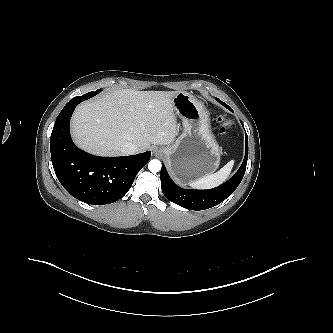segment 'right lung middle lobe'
I'll return each instance as SVG.
<instances>
[{
    "label": "right lung middle lobe",
    "instance_id": "right-lung-middle-lobe-1",
    "mask_svg": "<svg viewBox=\"0 0 333 333\" xmlns=\"http://www.w3.org/2000/svg\"><path fill=\"white\" fill-rule=\"evenodd\" d=\"M101 90H102V89H98V90H96V91L89 92V93L84 94V95H82V96H77V97L73 98L72 100H70L68 103H74V102H76V101L82 102V101H84V100H87V99H89V98H91V97L97 95L98 93L101 92ZM68 103H67V104H68Z\"/></svg>",
    "mask_w": 333,
    "mask_h": 333
}]
</instances>
